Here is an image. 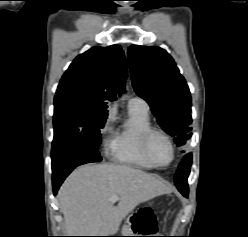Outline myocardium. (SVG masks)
<instances>
[{"instance_id": "f54148a6", "label": "myocardium", "mask_w": 248, "mask_h": 237, "mask_svg": "<svg viewBox=\"0 0 248 237\" xmlns=\"http://www.w3.org/2000/svg\"><path fill=\"white\" fill-rule=\"evenodd\" d=\"M153 135H160L162 136L170 145L171 148V158L169 160L168 163H166L165 165H160L157 164L151 157L150 152H149V142L150 139L152 138ZM141 150L142 153L144 155V157L148 160V162L157 169H163L168 167L169 165L172 164V162L175 159V154H176V148L175 145L171 139V137L163 130L157 129V128H149L146 131H144V133L141 136Z\"/></svg>"}]
</instances>
